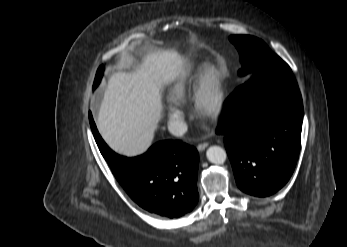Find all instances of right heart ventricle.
I'll list each match as a JSON object with an SVG mask.
<instances>
[{
  "mask_svg": "<svg viewBox=\"0 0 347 247\" xmlns=\"http://www.w3.org/2000/svg\"><path fill=\"white\" fill-rule=\"evenodd\" d=\"M204 70L205 69H202L194 75L185 74L180 76L170 89V100L174 103L184 102L189 95L193 81H199Z\"/></svg>",
  "mask_w": 347,
  "mask_h": 247,
  "instance_id": "obj_1",
  "label": "right heart ventricle"
}]
</instances>
